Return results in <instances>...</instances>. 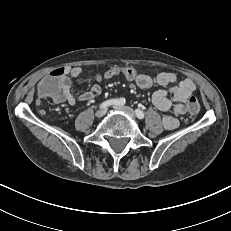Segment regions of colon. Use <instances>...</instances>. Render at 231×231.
<instances>
[{
    "mask_svg": "<svg viewBox=\"0 0 231 231\" xmlns=\"http://www.w3.org/2000/svg\"><path fill=\"white\" fill-rule=\"evenodd\" d=\"M63 71L62 68H57L51 72L50 75H47L45 78L41 79V82L38 83L37 88V95L39 97H47L51 98L54 101L61 97V91L58 87L60 80L63 78ZM117 75H123L126 81L132 82L140 75H145L153 78L157 74L154 72H146L140 71L136 68L132 67H111L106 70L101 76L99 77H107L111 78ZM188 103L184 108V115L185 116H196L197 112L201 111V104L197 100L196 96H189Z\"/></svg>",
    "mask_w": 231,
    "mask_h": 231,
    "instance_id": "colon-1",
    "label": "colon"
}]
</instances>
